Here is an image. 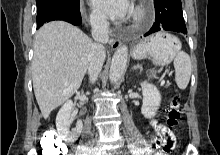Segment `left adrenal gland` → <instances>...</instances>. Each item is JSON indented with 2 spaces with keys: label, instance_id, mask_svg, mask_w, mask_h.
Returning a JSON list of instances; mask_svg holds the SVG:
<instances>
[{
  "label": "left adrenal gland",
  "instance_id": "1",
  "mask_svg": "<svg viewBox=\"0 0 220 155\" xmlns=\"http://www.w3.org/2000/svg\"><path fill=\"white\" fill-rule=\"evenodd\" d=\"M133 69H140L141 70V66L140 65H136L133 67Z\"/></svg>",
  "mask_w": 220,
  "mask_h": 155
}]
</instances>
